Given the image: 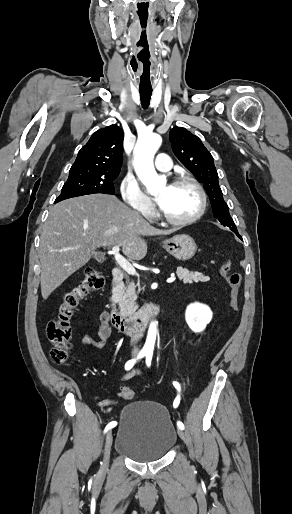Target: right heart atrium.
Segmentation results:
<instances>
[{
  "instance_id": "1",
  "label": "right heart atrium",
  "mask_w": 292,
  "mask_h": 514,
  "mask_svg": "<svg viewBox=\"0 0 292 514\" xmlns=\"http://www.w3.org/2000/svg\"><path fill=\"white\" fill-rule=\"evenodd\" d=\"M119 190L122 199L132 209H143V214L150 210V200L143 192L138 179L130 171L124 174L119 185Z\"/></svg>"
}]
</instances>
